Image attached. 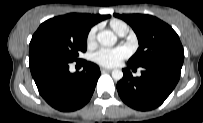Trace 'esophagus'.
I'll return each instance as SVG.
<instances>
[{
	"mask_svg": "<svg viewBox=\"0 0 203 123\" xmlns=\"http://www.w3.org/2000/svg\"><path fill=\"white\" fill-rule=\"evenodd\" d=\"M112 69L109 68H101V72H110Z\"/></svg>",
	"mask_w": 203,
	"mask_h": 123,
	"instance_id": "34e87169",
	"label": "esophagus"
}]
</instances>
